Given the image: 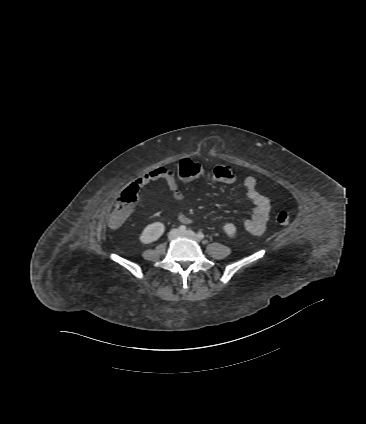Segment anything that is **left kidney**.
Segmentation results:
<instances>
[{
    "label": "left kidney",
    "instance_id": "1",
    "mask_svg": "<svg viewBox=\"0 0 366 424\" xmlns=\"http://www.w3.org/2000/svg\"><path fill=\"white\" fill-rule=\"evenodd\" d=\"M223 230H224V232L229 236V237H234L235 236V233H236V227H235V225L234 224H232V223H226L224 226H223Z\"/></svg>",
    "mask_w": 366,
    "mask_h": 424
}]
</instances>
